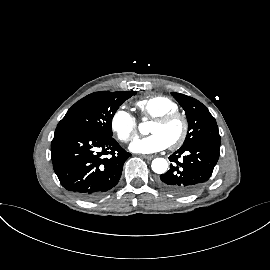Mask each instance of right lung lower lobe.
Instances as JSON below:
<instances>
[{"instance_id": "98d812e1", "label": "right lung lower lobe", "mask_w": 270, "mask_h": 270, "mask_svg": "<svg viewBox=\"0 0 270 270\" xmlns=\"http://www.w3.org/2000/svg\"><path fill=\"white\" fill-rule=\"evenodd\" d=\"M130 155L114 138L82 130H56L51 142L53 168L61 185L85 200L112 189Z\"/></svg>"}]
</instances>
